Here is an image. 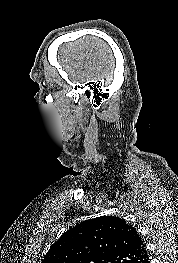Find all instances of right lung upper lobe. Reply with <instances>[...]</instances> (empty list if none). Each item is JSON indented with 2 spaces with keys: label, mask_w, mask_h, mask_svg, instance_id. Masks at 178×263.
Segmentation results:
<instances>
[{
  "label": "right lung upper lobe",
  "mask_w": 178,
  "mask_h": 263,
  "mask_svg": "<svg viewBox=\"0 0 178 263\" xmlns=\"http://www.w3.org/2000/svg\"><path fill=\"white\" fill-rule=\"evenodd\" d=\"M148 258L136 228L119 217L101 216L63 233L41 263H145Z\"/></svg>",
  "instance_id": "right-lung-upper-lobe-1"
}]
</instances>
